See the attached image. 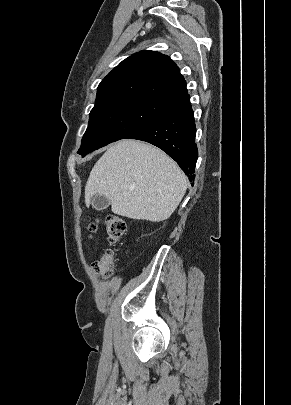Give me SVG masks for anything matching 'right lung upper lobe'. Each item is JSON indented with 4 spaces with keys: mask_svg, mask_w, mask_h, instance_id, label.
Instances as JSON below:
<instances>
[{
    "mask_svg": "<svg viewBox=\"0 0 291 405\" xmlns=\"http://www.w3.org/2000/svg\"><path fill=\"white\" fill-rule=\"evenodd\" d=\"M186 92L185 79L171 58L144 50L123 60L102 80L95 106L135 98L169 104Z\"/></svg>",
    "mask_w": 291,
    "mask_h": 405,
    "instance_id": "right-lung-upper-lobe-1",
    "label": "right lung upper lobe"
}]
</instances>
